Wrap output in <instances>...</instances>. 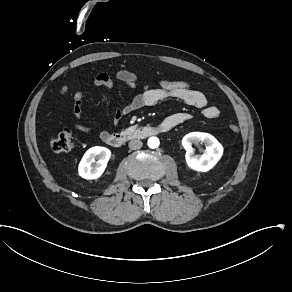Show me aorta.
Returning a JSON list of instances; mask_svg holds the SVG:
<instances>
[{
  "mask_svg": "<svg viewBox=\"0 0 292 292\" xmlns=\"http://www.w3.org/2000/svg\"><path fill=\"white\" fill-rule=\"evenodd\" d=\"M148 146L150 148H157L159 146V139L157 137H150L148 139Z\"/></svg>",
  "mask_w": 292,
  "mask_h": 292,
  "instance_id": "1",
  "label": "aorta"
}]
</instances>
